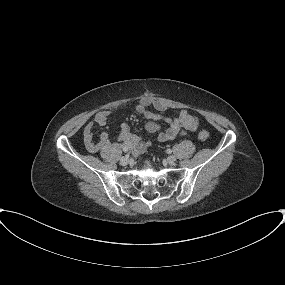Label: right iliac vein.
<instances>
[{
  "instance_id": "63e3f726",
  "label": "right iliac vein",
  "mask_w": 285,
  "mask_h": 285,
  "mask_svg": "<svg viewBox=\"0 0 285 285\" xmlns=\"http://www.w3.org/2000/svg\"><path fill=\"white\" fill-rule=\"evenodd\" d=\"M129 157L128 156H123V157H121L120 158V164L121 165H127L128 164V162H129Z\"/></svg>"
}]
</instances>
